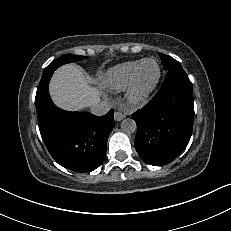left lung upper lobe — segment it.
Returning <instances> with one entry per match:
<instances>
[{
    "label": "left lung upper lobe",
    "instance_id": "5c2ea615",
    "mask_svg": "<svg viewBox=\"0 0 231 231\" xmlns=\"http://www.w3.org/2000/svg\"><path fill=\"white\" fill-rule=\"evenodd\" d=\"M158 54L162 60V63H163L165 70L168 71L173 67L181 66V64L177 60H175L174 58L169 57V56L162 54V53H158Z\"/></svg>",
    "mask_w": 231,
    "mask_h": 231
}]
</instances>
